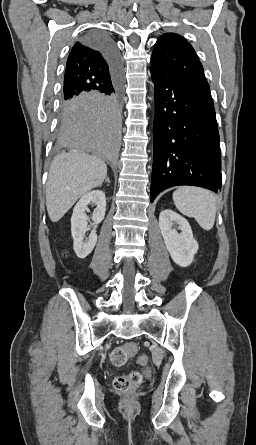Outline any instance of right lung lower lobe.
Instances as JSON below:
<instances>
[{
  "mask_svg": "<svg viewBox=\"0 0 256 445\" xmlns=\"http://www.w3.org/2000/svg\"><path fill=\"white\" fill-rule=\"evenodd\" d=\"M98 48L112 71L111 85L91 94L61 102L60 142L71 149L114 163L118 158L121 129L120 60L112 39L91 31L83 39Z\"/></svg>",
  "mask_w": 256,
  "mask_h": 445,
  "instance_id": "obj_1",
  "label": "right lung lower lobe"
}]
</instances>
